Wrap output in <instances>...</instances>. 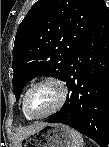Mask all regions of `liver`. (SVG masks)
Here are the masks:
<instances>
[{"mask_svg":"<svg viewBox=\"0 0 109 147\" xmlns=\"http://www.w3.org/2000/svg\"><path fill=\"white\" fill-rule=\"evenodd\" d=\"M45 125H47V124L46 123H40V124L25 127V128H20L17 131V133L15 134V141H16L15 147L20 146V141L23 138H25L28 135L33 134L34 132L38 131L40 128H42Z\"/></svg>","mask_w":109,"mask_h":147,"instance_id":"1","label":"liver"}]
</instances>
